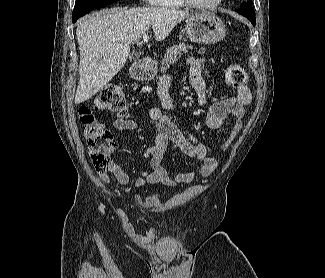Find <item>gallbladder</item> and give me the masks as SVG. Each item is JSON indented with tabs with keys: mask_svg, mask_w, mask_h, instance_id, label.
Listing matches in <instances>:
<instances>
[{
	"mask_svg": "<svg viewBox=\"0 0 325 278\" xmlns=\"http://www.w3.org/2000/svg\"><path fill=\"white\" fill-rule=\"evenodd\" d=\"M140 58V54L137 53V52H133L131 55H130V59L133 60V61H136Z\"/></svg>",
	"mask_w": 325,
	"mask_h": 278,
	"instance_id": "gallbladder-1",
	"label": "gallbladder"
}]
</instances>
